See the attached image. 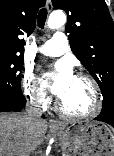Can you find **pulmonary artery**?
<instances>
[{
	"instance_id": "obj_1",
	"label": "pulmonary artery",
	"mask_w": 114,
	"mask_h": 156,
	"mask_svg": "<svg viewBox=\"0 0 114 156\" xmlns=\"http://www.w3.org/2000/svg\"><path fill=\"white\" fill-rule=\"evenodd\" d=\"M68 49V40L64 33L57 32L54 36L39 47L38 51L46 56L57 57Z\"/></svg>"
}]
</instances>
